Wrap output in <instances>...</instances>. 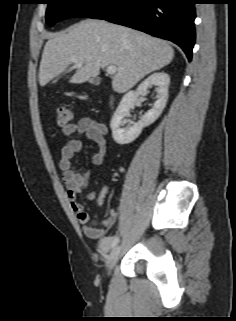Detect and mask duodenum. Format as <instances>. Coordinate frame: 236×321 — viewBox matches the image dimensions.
Returning a JSON list of instances; mask_svg holds the SVG:
<instances>
[{
  "instance_id": "410a0bca",
  "label": "duodenum",
  "mask_w": 236,
  "mask_h": 321,
  "mask_svg": "<svg viewBox=\"0 0 236 321\" xmlns=\"http://www.w3.org/2000/svg\"><path fill=\"white\" fill-rule=\"evenodd\" d=\"M110 103H111V105H114V99L113 98H110Z\"/></svg>"
}]
</instances>
